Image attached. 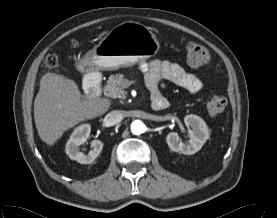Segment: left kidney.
Instances as JSON below:
<instances>
[{
	"label": "left kidney",
	"mask_w": 277,
	"mask_h": 218,
	"mask_svg": "<svg viewBox=\"0 0 277 218\" xmlns=\"http://www.w3.org/2000/svg\"><path fill=\"white\" fill-rule=\"evenodd\" d=\"M184 123L187 127L192 128L188 130L189 143L184 144L179 141V135L176 132H170L166 137V142L172 151L192 155L202 148L208 140L210 132L205 121L199 116L186 115Z\"/></svg>",
	"instance_id": "obj_1"
}]
</instances>
